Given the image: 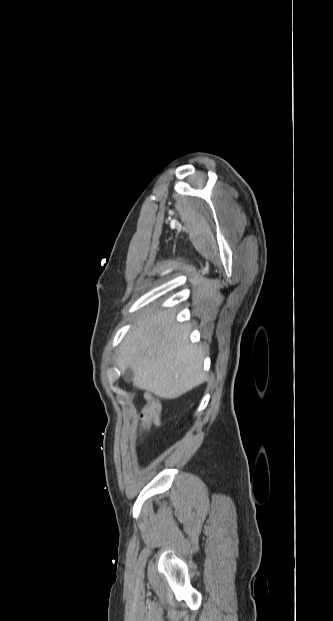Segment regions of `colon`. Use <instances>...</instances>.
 <instances>
[{"instance_id":"colon-1","label":"colon","mask_w":333,"mask_h":621,"mask_svg":"<svg viewBox=\"0 0 333 621\" xmlns=\"http://www.w3.org/2000/svg\"><path fill=\"white\" fill-rule=\"evenodd\" d=\"M161 404L160 401L154 397L149 396L146 407L143 412V419L140 426L142 434H145L152 429L158 427L160 423Z\"/></svg>"}]
</instances>
